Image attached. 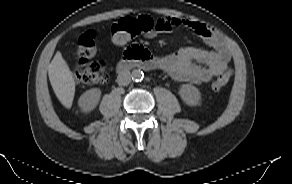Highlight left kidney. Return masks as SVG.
I'll list each match as a JSON object with an SVG mask.
<instances>
[{
    "instance_id": "1",
    "label": "left kidney",
    "mask_w": 292,
    "mask_h": 184,
    "mask_svg": "<svg viewBox=\"0 0 292 184\" xmlns=\"http://www.w3.org/2000/svg\"><path fill=\"white\" fill-rule=\"evenodd\" d=\"M181 99L189 106H197L201 103V93L193 85L183 84L179 89Z\"/></svg>"
}]
</instances>
